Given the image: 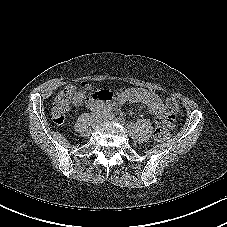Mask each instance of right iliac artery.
I'll list each match as a JSON object with an SVG mask.
<instances>
[{
    "label": "right iliac artery",
    "mask_w": 227,
    "mask_h": 227,
    "mask_svg": "<svg viewBox=\"0 0 227 227\" xmlns=\"http://www.w3.org/2000/svg\"><path fill=\"white\" fill-rule=\"evenodd\" d=\"M98 116H99V114H97V115L95 116V118H98Z\"/></svg>",
    "instance_id": "1"
}]
</instances>
